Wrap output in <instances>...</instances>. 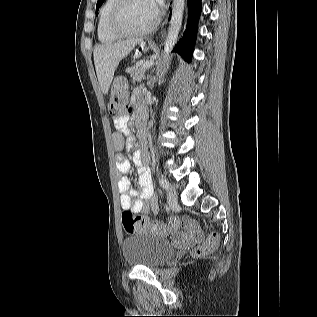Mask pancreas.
<instances>
[{
  "label": "pancreas",
  "mask_w": 317,
  "mask_h": 317,
  "mask_svg": "<svg viewBox=\"0 0 317 317\" xmlns=\"http://www.w3.org/2000/svg\"><path fill=\"white\" fill-rule=\"evenodd\" d=\"M147 68L143 67V64H141L140 61H135L134 62V67L129 68L127 72L131 75L132 77V82H140L142 79L145 78V73H146Z\"/></svg>",
  "instance_id": "obj_1"
}]
</instances>
